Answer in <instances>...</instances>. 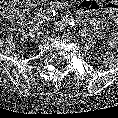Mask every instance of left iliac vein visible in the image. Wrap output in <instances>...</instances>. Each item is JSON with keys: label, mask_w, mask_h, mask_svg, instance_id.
Wrapping results in <instances>:
<instances>
[{"label": "left iliac vein", "mask_w": 118, "mask_h": 118, "mask_svg": "<svg viewBox=\"0 0 118 118\" xmlns=\"http://www.w3.org/2000/svg\"><path fill=\"white\" fill-rule=\"evenodd\" d=\"M56 25H58L61 29H63V24L61 22H57Z\"/></svg>", "instance_id": "1"}]
</instances>
